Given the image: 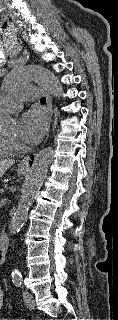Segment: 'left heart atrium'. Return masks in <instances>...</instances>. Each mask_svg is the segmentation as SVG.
<instances>
[{
	"label": "left heart atrium",
	"instance_id": "1",
	"mask_svg": "<svg viewBox=\"0 0 118 320\" xmlns=\"http://www.w3.org/2000/svg\"><path fill=\"white\" fill-rule=\"evenodd\" d=\"M47 130V116L41 109L25 112L20 120V137L27 144H36Z\"/></svg>",
	"mask_w": 118,
	"mask_h": 320
}]
</instances>
